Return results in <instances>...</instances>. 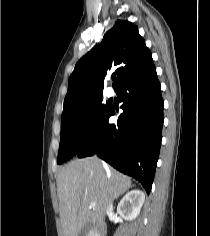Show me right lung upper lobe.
Here are the masks:
<instances>
[{"mask_svg": "<svg viewBox=\"0 0 210 236\" xmlns=\"http://www.w3.org/2000/svg\"><path fill=\"white\" fill-rule=\"evenodd\" d=\"M153 63L150 50L129 21H116L99 46H94L75 65L69 77L63 113L79 108L88 100L103 96L104 77L116 68L114 89Z\"/></svg>", "mask_w": 210, "mask_h": 236, "instance_id": "cb5924a9", "label": "right lung upper lobe"}]
</instances>
